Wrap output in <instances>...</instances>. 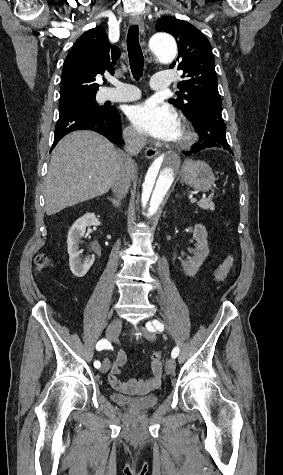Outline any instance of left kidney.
<instances>
[{"label":"left kidney","mask_w":283,"mask_h":475,"mask_svg":"<svg viewBox=\"0 0 283 475\" xmlns=\"http://www.w3.org/2000/svg\"><path fill=\"white\" fill-rule=\"evenodd\" d=\"M193 236L197 241L194 255H192V257H186V259H182L181 261V265L186 275H195L209 253L207 241L208 234L205 226H202V224H196V226H194Z\"/></svg>","instance_id":"1"}]
</instances>
